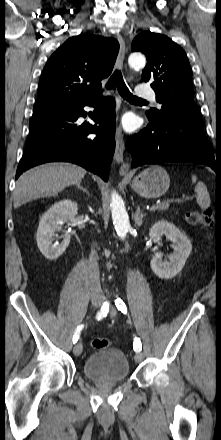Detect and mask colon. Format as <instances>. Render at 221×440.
I'll return each mask as SVG.
<instances>
[{
    "instance_id": "5ec220e1",
    "label": "colon",
    "mask_w": 221,
    "mask_h": 440,
    "mask_svg": "<svg viewBox=\"0 0 221 440\" xmlns=\"http://www.w3.org/2000/svg\"><path fill=\"white\" fill-rule=\"evenodd\" d=\"M185 220L191 225H202L209 227L213 224V213L210 210L190 211L185 215ZM110 346V341L106 338H95L92 340V347L95 349H106Z\"/></svg>"
}]
</instances>
